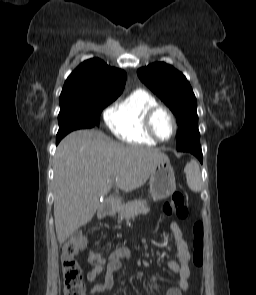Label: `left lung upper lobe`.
I'll return each instance as SVG.
<instances>
[{
  "mask_svg": "<svg viewBox=\"0 0 256 295\" xmlns=\"http://www.w3.org/2000/svg\"><path fill=\"white\" fill-rule=\"evenodd\" d=\"M137 74L176 114L178 123V151L200 146L198 131L197 101L185 76L171 65L154 63L140 68Z\"/></svg>",
  "mask_w": 256,
  "mask_h": 295,
  "instance_id": "5c2ea615",
  "label": "left lung upper lobe"
}]
</instances>
